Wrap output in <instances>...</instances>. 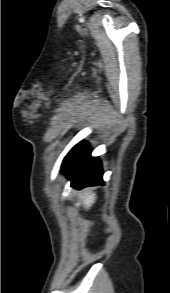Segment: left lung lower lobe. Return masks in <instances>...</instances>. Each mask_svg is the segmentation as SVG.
I'll return each instance as SVG.
<instances>
[{"mask_svg": "<svg viewBox=\"0 0 170 293\" xmlns=\"http://www.w3.org/2000/svg\"><path fill=\"white\" fill-rule=\"evenodd\" d=\"M89 146L80 142L65 157L62 167L71 179V186L81 189L86 186L103 185L102 167L98 158L90 157Z\"/></svg>", "mask_w": 170, "mask_h": 293, "instance_id": "0a47b994", "label": "left lung lower lobe"}]
</instances>
